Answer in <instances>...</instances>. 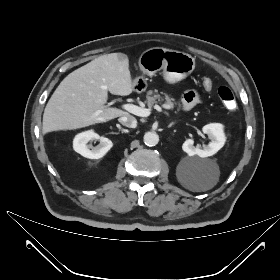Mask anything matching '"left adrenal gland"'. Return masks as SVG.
I'll return each instance as SVG.
<instances>
[{"mask_svg":"<svg viewBox=\"0 0 280 280\" xmlns=\"http://www.w3.org/2000/svg\"><path fill=\"white\" fill-rule=\"evenodd\" d=\"M174 124H175V122H172V123L168 126V128L172 127Z\"/></svg>","mask_w":280,"mask_h":280,"instance_id":"obj_1","label":"left adrenal gland"}]
</instances>
